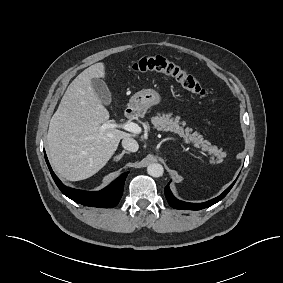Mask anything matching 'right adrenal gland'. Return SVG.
<instances>
[{
    "instance_id": "obj_1",
    "label": "right adrenal gland",
    "mask_w": 283,
    "mask_h": 283,
    "mask_svg": "<svg viewBox=\"0 0 283 283\" xmlns=\"http://www.w3.org/2000/svg\"><path fill=\"white\" fill-rule=\"evenodd\" d=\"M124 154H130V152L123 150V151L121 152V154H119V155H117V156L114 157V161L118 162V161L123 157Z\"/></svg>"
}]
</instances>
